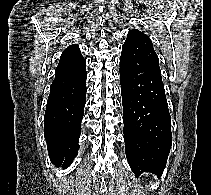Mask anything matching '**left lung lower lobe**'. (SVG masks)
Wrapping results in <instances>:
<instances>
[{
  "mask_svg": "<svg viewBox=\"0 0 211 195\" xmlns=\"http://www.w3.org/2000/svg\"><path fill=\"white\" fill-rule=\"evenodd\" d=\"M124 141L136 176L162 173L171 148V117L162 77L145 64L120 57Z\"/></svg>",
  "mask_w": 211,
  "mask_h": 195,
  "instance_id": "1",
  "label": "left lung lower lobe"
}]
</instances>
